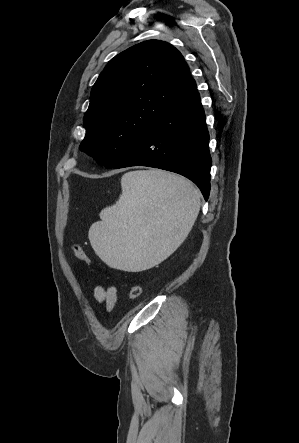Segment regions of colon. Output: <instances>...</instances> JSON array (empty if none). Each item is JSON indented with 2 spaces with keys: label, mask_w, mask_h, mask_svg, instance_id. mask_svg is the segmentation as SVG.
<instances>
[{
  "label": "colon",
  "mask_w": 299,
  "mask_h": 443,
  "mask_svg": "<svg viewBox=\"0 0 299 443\" xmlns=\"http://www.w3.org/2000/svg\"><path fill=\"white\" fill-rule=\"evenodd\" d=\"M72 252L75 255V257L78 258L79 260L88 264L92 263L88 254L83 250V248L79 244H74L72 246ZM141 293H142L141 286L138 284H134L130 289L129 295L132 300H136L141 296Z\"/></svg>",
  "instance_id": "colon-1"
}]
</instances>
